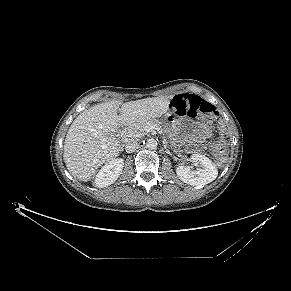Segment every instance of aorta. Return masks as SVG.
<instances>
[{"label":"aorta","mask_w":291,"mask_h":291,"mask_svg":"<svg viewBox=\"0 0 291 291\" xmlns=\"http://www.w3.org/2000/svg\"><path fill=\"white\" fill-rule=\"evenodd\" d=\"M147 148L150 150H154L157 148V141L153 138L147 140L146 144Z\"/></svg>","instance_id":"762f6f07"}]
</instances>
